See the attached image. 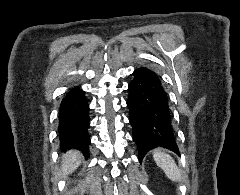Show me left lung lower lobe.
Returning <instances> with one entry per match:
<instances>
[{
	"mask_svg": "<svg viewBox=\"0 0 240 195\" xmlns=\"http://www.w3.org/2000/svg\"><path fill=\"white\" fill-rule=\"evenodd\" d=\"M128 85L127 106L133 128V140L141 162L145 154L164 147L179 155L171 125L168 96L158 75L147 67H138Z\"/></svg>",
	"mask_w": 240,
	"mask_h": 195,
	"instance_id": "left-lung-lower-lobe-1",
	"label": "left lung lower lobe"
}]
</instances>
